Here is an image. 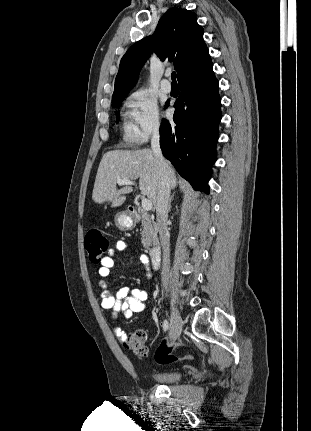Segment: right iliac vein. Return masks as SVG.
<instances>
[{"label": "right iliac vein", "instance_id": "63e3f726", "mask_svg": "<svg viewBox=\"0 0 311 431\" xmlns=\"http://www.w3.org/2000/svg\"><path fill=\"white\" fill-rule=\"evenodd\" d=\"M182 319L176 308V306L171 303V323H170V337L175 341L181 334L182 330Z\"/></svg>", "mask_w": 311, "mask_h": 431}]
</instances>
